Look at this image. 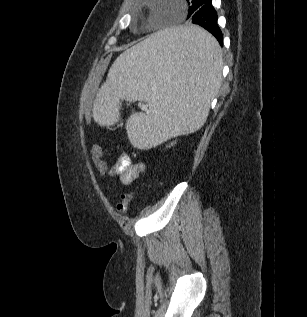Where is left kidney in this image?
I'll list each match as a JSON object with an SVG mask.
<instances>
[{
  "mask_svg": "<svg viewBox=\"0 0 307 317\" xmlns=\"http://www.w3.org/2000/svg\"><path fill=\"white\" fill-rule=\"evenodd\" d=\"M175 144V142H172L171 145Z\"/></svg>",
  "mask_w": 307,
  "mask_h": 317,
  "instance_id": "obj_1",
  "label": "left kidney"
}]
</instances>
